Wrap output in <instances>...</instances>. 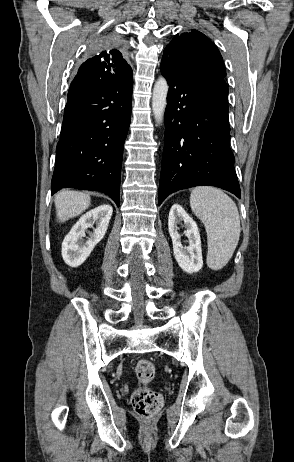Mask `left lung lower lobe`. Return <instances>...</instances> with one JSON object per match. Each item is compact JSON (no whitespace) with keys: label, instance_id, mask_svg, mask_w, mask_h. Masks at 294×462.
Instances as JSON below:
<instances>
[{"label":"left lung lower lobe","instance_id":"left-lung-lower-lobe-1","mask_svg":"<svg viewBox=\"0 0 294 462\" xmlns=\"http://www.w3.org/2000/svg\"><path fill=\"white\" fill-rule=\"evenodd\" d=\"M169 83L159 186L160 205L171 193L199 185L225 189L240 198L230 150L228 88L160 65Z\"/></svg>","mask_w":294,"mask_h":462}]
</instances>
